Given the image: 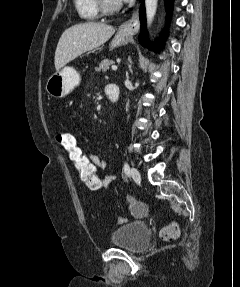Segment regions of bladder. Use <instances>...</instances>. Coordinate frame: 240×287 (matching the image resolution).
Here are the masks:
<instances>
[{
	"instance_id": "bladder-1",
	"label": "bladder",
	"mask_w": 240,
	"mask_h": 287,
	"mask_svg": "<svg viewBox=\"0 0 240 287\" xmlns=\"http://www.w3.org/2000/svg\"><path fill=\"white\" fill-rule=\"evenodd\" d=\"M150 241L149 226L142 221H132L115 229L110 243L131 253H139L147 248Z\"/></svg>"
}]
</instances>
